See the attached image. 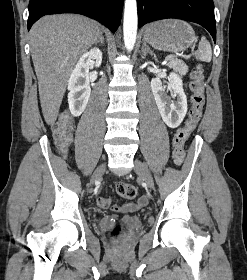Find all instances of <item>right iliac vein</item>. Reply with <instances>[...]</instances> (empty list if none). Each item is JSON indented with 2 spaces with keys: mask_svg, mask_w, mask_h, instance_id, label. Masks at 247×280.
Returning a JSON list of instances; mask_svg holds the SVG:
<instances>
[{
  "mask_svg": "<svg viewBox=\"0 0 247 280\" xmlns=\"http://www.w3.org/2000/svg\"><path fill=\"white\" fill-rule=\"evenodd\" d=\"M105 170H106V165L105 164L100 165L93 175V180L96 181L100 179L104 174Z\"/></svg>",
  "mask_w": 247,
  "mask_h": 280,
  "instance_id": "1",
  "label": "right iliac vein"
}]
</instances>
